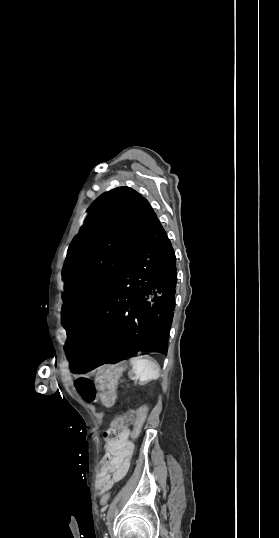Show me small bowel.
<instances>
[{"instance_id":"1","label":"small bowel","mask_w":279,"mask_h":538,"mask_svg":"<svg viewBox=\"0 0 279 538\" xmlns=\"http://www.w3.org/2000/svg\"><path fill=\"white\" fill-rule=\"evenodd\" d=\"M75 388L86 402L94 403L96 401V392L91 381L83 378L77 379ZM133 450L134 445L130 440V430H123L119 439L111 446L112 457L107 477L96 483L100 492H106L126 475Z\"/></svg>"}]
</instances>
